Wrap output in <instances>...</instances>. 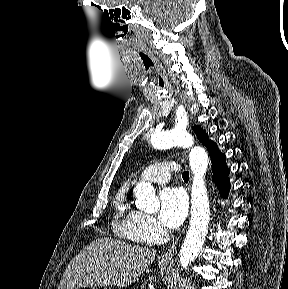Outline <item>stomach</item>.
<instances>
[{"instance_id":"stomach-1","label":"stomach","mask_w":288,"mask_h":289,"mask_svg":"<svg viewBox=\"0 0 288 289\" xmlns=\"http://www.w3.org/2000/svg\"><path fill=\"white\" fill-rule=\"evenodd\" d=\"M167 263H168V261H167V262H164L163 265H166Z\"/></svg>"}]
</instances>
